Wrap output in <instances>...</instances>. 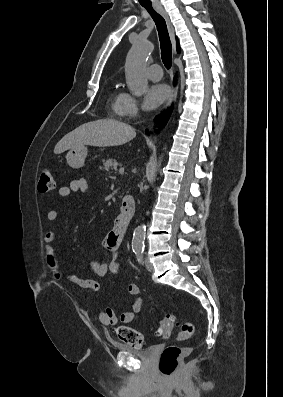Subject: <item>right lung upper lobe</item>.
Here are the masks:
<instances>
[{
  "mask_svg": "<svg viewBox=\"0 0 283 397\" xmlns=\"http://www.w3.org/2000/svg\"><path fill=\"white\" fill-rule=\"evenodd\" d=\"M177 51L180 52V46H179L178 42H177Z\"/></svg>",
  "mask_w": 283,
  "mask_h": 397,
  "instance_id": "1",
  "label": "right lung upper lobe"
}]
</instances>
